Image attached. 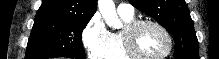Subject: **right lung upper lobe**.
Masks as SVG:
<instances>
[{
  "label": "right lung upper lobe",
  "instance_id": "right-lung-upper-lobe-1",
  "mask_svg": "<svg viewBox=\"0 0 219 59\" xmlns=\"http://www.w3.org/2000/svg\"><path fill=\"white\" fill-rule=\"evenodd\" d=\"M96 10L97 0H43L36 16L91 19Z\"/></svg>",
  "mask_w": 219,
  "mask_h": 59
}]
</instances>
